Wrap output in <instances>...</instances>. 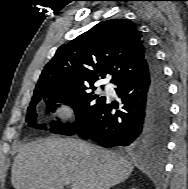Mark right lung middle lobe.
<instances>
[{"label":"right lung middle lobe","instance_id":"right-lung-middle-lobe-1","mask_svg":"<svg viewBox=\"0 0 188 189\" xmlns=\"http://www.w3.org/2000/svg\"><path fill=\"white\" fill-rule=\"evenodd\" d=\"M95 87H88L78 90L72 89H54V90H45L33 95L32 101L27 109V118L29 126L36 127L38 129L44 128L45 125H36L35 119L36 114V105L41 100L42 97L49 96L52 99L47 102V109L53 111L56 107L55 102H64L71 105L76 114V122L73 124H55L50 132L62 135H73L76 134L84 125H86L100 109V107L105 102V97H98L97 95H92L89 93L88 89Z\"/></svg>","mask_w":188,"mask_h":189}]
</instances>
